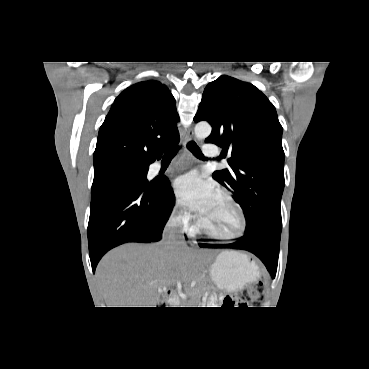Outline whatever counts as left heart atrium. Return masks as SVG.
I'll list each match as a JSON object with an SVG mask.
<instances>
[{"label":"left heart atrium","mask_w":369,"mask_h":369,"mask_svg":"<svg viewBox=\"0 0 369 369\" xmlns=\"http://www.w3.org/2000/svg\"><path fill=\"white\" fill-rule=\"evenodd\" d=\"M174 192L181 203L202 216L218 195L214 184L197 172H189L177 177Z\"/></svg>","instance_id":"1"}]
</instances>
